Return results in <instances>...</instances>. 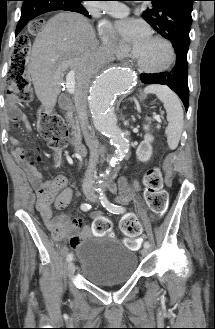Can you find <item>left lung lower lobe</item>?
Wrapping results in <instances>:
<instances>
[{
  "instance_id": "obj_1",
  "label": "left lung lower lobe",
  "mask_w": 215,
  "mask_h": 329,
  "mask_svg": "<svg viewBox=\"0 0 215 329\" xmlns=\"http://www.w3.org/2000/svg\"><path fill=\"white\" fill-rule=\"evenodd\" d=\"M176 64L170 72L153 74H141V80L145 84H162L171 88L182 100L187 111L189 106L188 88V47L178 44L174 46Z\"/></svg>"
}]
</instances>
